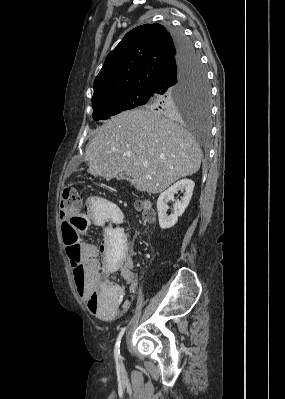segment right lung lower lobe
Returning <instances> with one entry per match:
<instances>
[{"mask_svg":"<svg viewBox=\"0 0 285 399\" xmlns=\"http://www.w3.org/2000/svg\"><path fill=\"white\" fill-rule=\"evenodd\" d=\"M177 54L155 78L150 90L152 93L165 94L168 89L180 82L186 69L197 59L193 44L180 30H171Z\"/></svg>","mask_w":285,"mask_h":399,"instance_id":"98d812e1","label":"right lung lower lobe"}]
</instances>
